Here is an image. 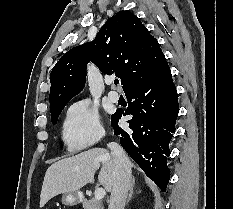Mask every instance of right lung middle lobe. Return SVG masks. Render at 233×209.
<instances>
[{
	"label": "right lung middle lobe",
	"instance_id": "right-lung-middle-lobe-1",
	"mask_svg": "<svg viewBox=\"0 0 233 209\" xmlns=\"http://www.w3.org/2000/svg\"><path fill=\"white\" fill-rule=\"evenodd\" d=\"M64 107H65V105L60 106L51 112V121L53 124L57 123V119H58V117H59V115Z\"/></svg>",
	"mask_w": 233,
	"mask_h": 209
}]
</instances>
